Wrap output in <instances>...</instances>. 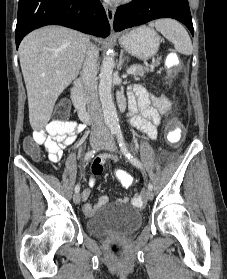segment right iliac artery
<instances>
[{"label": "right iliac artery", "mask_w": 227, "mask_h": 279, "mask_svg": "<svg viewBox=\"0 0 227 279\" xmlns=\"http://www.w3.org/2000/svg\"><path fill=\"white\" fill-rule=\"evenodd\" d=\"M115 134H116V131H111L110 138L113 139ZM97 150H91V151L87 152L85 155V161H89L91 158H93L95 153L97 152ZM79 191H80V186H79V184H77L75 187V193H78Z\"/></svg>", "instance_id": "1"}]
</instances>
